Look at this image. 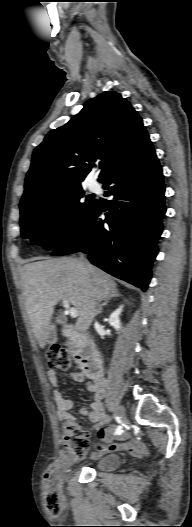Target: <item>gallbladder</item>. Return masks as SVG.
Here are the masks:
<instances>
[{"label": "gallbladder", "mask_w": 192, "mask_h": 527, "mask_svg": "<svg viewBox=\"0 0 192 527\" xmlns=\"http://www.w3.org/2000/svg\"><path fill=\"white\" fill-rule=\"evenodd\" d=\"M55 323L62 324L64 323V318L62 316H58L55 319ZM57 341V331L55 324H52L47 333L46 343L47 344H54Z\"/></svg>", "instance_id": "gallbladder-1"}]
</instances>
